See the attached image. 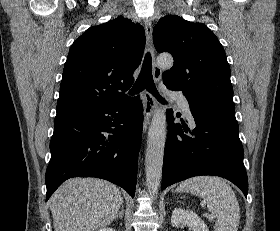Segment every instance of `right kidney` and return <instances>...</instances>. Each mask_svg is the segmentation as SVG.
Masks as SVG:
<instances>
[{
  "label": "right kidney",
  "instance_id": "1",
  "mask_svg": "<svg viewBox=\"0 0 280 231\" xmlns=\"http://www.w3.org/2000/svg\"><path fill=\"white\" fill-rule=\"evenodd\" d=\"M98 231H116L113 227H104V229H98Z\"/></svg>",
  "mask_w": 280,
  "mask_h": 231
}]
</instances>
